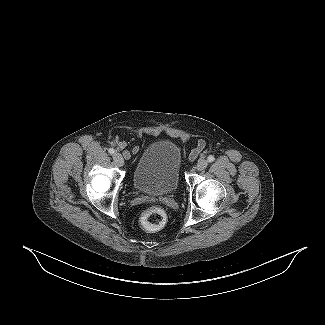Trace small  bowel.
<instances>
[{
	"instance_id": "small-bowel-1",
	"label": "small bowel",
	"mask_w": 325,
	"mask_h": 325,
	"mask_svg": "<svg viewBox=\"0 0 325 325\" xmlns=\"http://www.w3.org/2000/svg\"><path fill=\"white\" fill-rule=\"evenodd\" d=\"M112 144L123 151V155L125 158H130L131 154L135 151L134 149L133 150H126V143L124 141H119V140H113L112 141ZM200 148H202V144L200 145Z\"/></svg>"
}]
</instances>
